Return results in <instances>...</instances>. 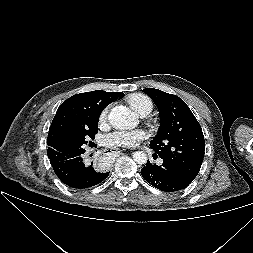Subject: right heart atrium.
I'll return each mask as SVG.
<instances>
[{
    "label": "right heart atrium",
    "instance_id": "obj_1",
    "mask_svg": "<svg viewBox=\"0 0 253 253\" xmlns=\"http://www.w3.org/2000/svg\"><path fill=\"white\" fill-rule=\"evenodd\" d=\"M107 113H108V110L107 109H104L102 112H101V114H100V116H99V121L102 123V122H104L105 120H106V118H107Z\"/></svg>",
    "mask_w": 253,
    "mask_h": 253
}]
</instances>
